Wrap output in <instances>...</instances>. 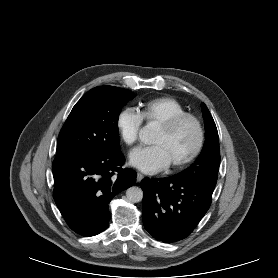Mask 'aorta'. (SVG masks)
Instances as JSON below:
<instances>
[{
    "mask_svg": "<svg viewBox=\"0 0 278 278\" xmlns=\"http://www.w3.org/2000/svg\"><path fill=\"white\" fill-rule=\"evenodd\" d=\"M154 132H155V123L150 122L140 130L139 137L142 142L150 143L154 136ZM126 197L129 202L138 203L143 199V191L139 187L132 186L127 189Z\"/></svg>",
    "mask_w": 278,
    "mask_h": 278,
    "instance_id": "762f6f07",
    "label": "aorta"
}]
</instances>
